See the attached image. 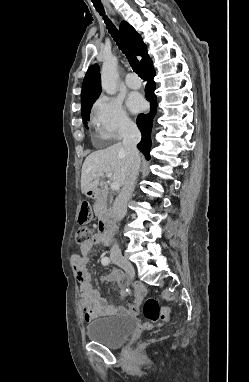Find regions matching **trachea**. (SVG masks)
<instances>
[{
	"label": "trachea",
	"mask_w": 249,
	"mask_h": 382,
	"mask_svg": "<svg viewBox=\"0 0 249 382\" xmlns=\"http://www.w3.org/2000/svg\"><path fill=\"white\" fill-rule=\"evenodd\" d=\"M94 7L96 10L100 13L101 16L105 14L104 7L100 1H93ZM104 20L107 26V29L109 30V33L113 37V39L116 41L119 48L122 50V52L126 55L133 71L138 74L141 78H146V73L142 69L139 60L137 57L131 52L129 49L127 43L123 39V37L120 35L116 27L113 25V23L107 18V16H104Z\"/></svg>",
	"instance_id": "1"
}]
</instances>
